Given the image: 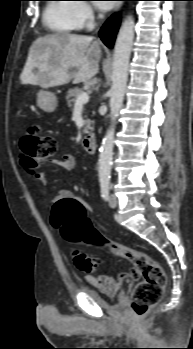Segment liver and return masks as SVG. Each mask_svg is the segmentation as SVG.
I'll use <instances>...</instances> for the list:
<instances>
[{"mask_svg": "<svg viewBox=\"0 0 193 349\" xmlns=\"http://www.w3.org/2000/svg\"><path fill=\"white\" fill-rule=\"evenodd\" d=\"M101 48L92 37L56 33L37 38L31 45L20 75L22 84L43 88L86 82L99 71Z\"/></svg>", "mask_w": 193, "mask_h": 349, "instance_id": "6515ba94", "label": "liver"}]
</instances>
